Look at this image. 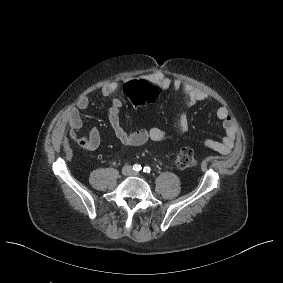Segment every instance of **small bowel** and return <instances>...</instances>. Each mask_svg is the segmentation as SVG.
<instances>
[{"label": "small bowel", "mask_w": 283, "mask_h": 283, "mask_svg": "<svg viewBox=\"0 0 283 283\" xmlns=\"http://www.w3.org/2000/svg\"><path fill=\"white\" fill-rule=\"evenodd\" d=\"M142 80L147 81L157 87L166 90L169 88L175 91L182 90L188 98V104L194 106L199 102L207 99V95L195 88L190 84H183L181 80L177 78H171L162 72H151L141 76ZM118 89L116 82H110L101 87V94L103 97L108 98L115 95ZM89 107V100L87 96H81L76 106L69 113V121L72 126V130L79 132L82 128V121L80 117L81 112L87 111ZM122 107V100L118 97H114L112 104L108 110V122L114 132L116 138L125 146L134 147L145 144L148 141L162 142L167 136L165 132L158 128L152 127L149 129H140L137 131L129 132L125 130L120 123V108ZM216 116L221 121L225 130V135L221 140L206 139L204 144L206 147L221 153L228 154L235 142L236 138V125L231 117L229 111L224 106H220L216 110ZM188 130V120L186 117H181L179 121V132L185 133ZM87 139V150H96L101 142V136L98 129L93 128L90 130Z\"/></svg>", "instance_id": "c3829d8e"}]
</instances>
